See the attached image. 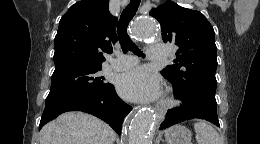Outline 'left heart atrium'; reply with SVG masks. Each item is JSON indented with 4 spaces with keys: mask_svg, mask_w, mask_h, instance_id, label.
<instances>
[{
    "mask_svg": "<svg viewBox=\"0 0 260 144\" xmlns=\"http://www.w3.org/2000/svg\"><path fill=\"white\" fill-rule=\"evenodd\" d=\"M119 93L134 102L156 101L161 96L160 78L143 68L122 74L118 81Z\"/></svg>",
    "mask_w": 260,
    "mask_h": 144,
    "instance_id": "39dd6f15",
    "label": "left heart atrium"
}]
</instances>
